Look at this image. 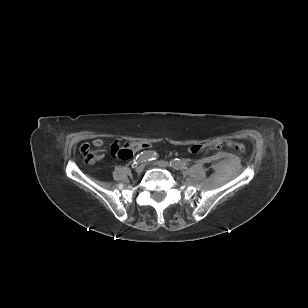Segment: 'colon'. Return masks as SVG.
Returning a JSON list of instances; mask_svg holds the SVG:
<instances>
[{
	"instance_id": "obj_1",
	"label": "colon",
	"mask_w": 308,
	"mask_h": 308,
	"mask_svg": "<svg viewBox=\"0 0 308 308\" xmlns=\"http://www.w3.org/2000/svg\"><path fill=\"white\" fill-rule=\"evenodd\" d=\"M224 144L238 151L241 152L244 151V146L239 143H235L232 141H223L219 139L211 140L204 144L193 145L189 148V151L191 153H198L203 150L219 149ZM150 149H151L150 143H132L131 141H126L124 143V146L122 147L118 146L117 148L112 149V152L117 158L122 160H127L130 159L133 154H136L137 150H150ZM81 156L83 161L87 164H92L99 158V155L96 154L93 150H91L88 144H84L81 147Z\"/></svg>"
}]
</instances>
